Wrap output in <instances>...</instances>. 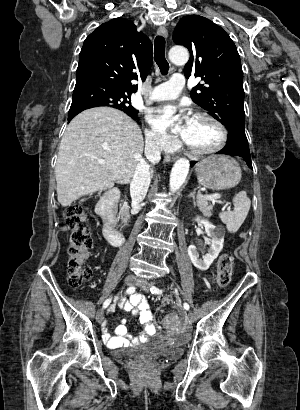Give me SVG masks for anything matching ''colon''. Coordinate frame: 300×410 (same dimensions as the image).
<instances>
[{"mask_svg": "<svg viewBox=\"0 0 300 410\" xmlns=\"http://www.w3.org/2000/svg\"><path fill=\"white\" fill-rule=\"evenodd\" d=\"M65 224L69 230L68 283L72 287H79L91 274L90 268L85 265V260L93 244L89 224L81 204L74 203L66 209ZM232 274V257L228 253H222L218 259L217 285L226 288L231 282ZM177 321V314L170 313L166 318V325L173 326Z\"/></svg>", "mask_w": 300, "mask_h": 410, "instance_id": "5ec220e1", "label": "colon"}]
</instances>
